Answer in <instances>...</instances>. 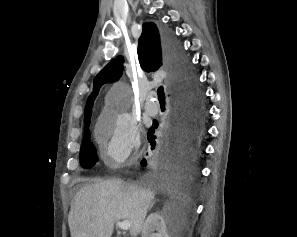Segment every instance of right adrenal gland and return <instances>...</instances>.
Segmentation results:
<instances>
[{
  "label": "right adrenal gland",
  "mask_w": 297,
  "mask_h": 237,
  "mask_svg": "<svg viewBox=\"0 0 297 237\" xmlns=\"http://www.w3.org/2000/svg\"><path fill=\"white\" fill-rule=\"evenodd\" d=\"M154 201L150 204L149 210L153 207Z\"/></svg>",
  "instance_id": "obj_1"
}]
</instances>
